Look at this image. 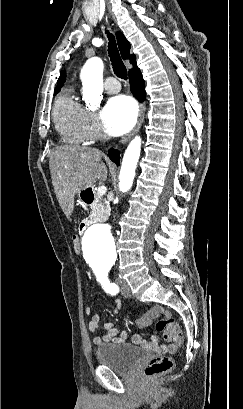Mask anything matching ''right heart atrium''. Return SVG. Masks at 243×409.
<instances>
[{"label":"right heart atrium","instance_id":"right-heart-atrium-1","mask_svg":"<svg viewBox=\"0 0 243 409\" xmlns=\"http://www.w3.org/2000/svg\"><path fill=\"white\" fill-rule=\"evenodd\" d=\"M82 129L86 141L95 142L104 138L96 115L85 108L82 112Z\"/></svg>","mask_w":243,"mask_h":409}]
</instances>
